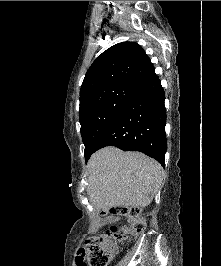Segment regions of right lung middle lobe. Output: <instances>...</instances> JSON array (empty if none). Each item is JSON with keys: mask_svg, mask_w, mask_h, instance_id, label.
Instances as JSON below:
<instances>
[{"mask_svg": "<svg viewBox=\"0 0 221 266\" xmlns=\"http://www.w3.org/2000/svg\"><path fill=\"white\" fill-rule=\"evenodd\" d=\"M137 89L133 85L102 88L80 100L79 119L86 161Z\"/></svg>", "mask_w": 221, "mask_h": 266, "instance_id": "1", "label": "right lung middle lobe"}]
</instances>
